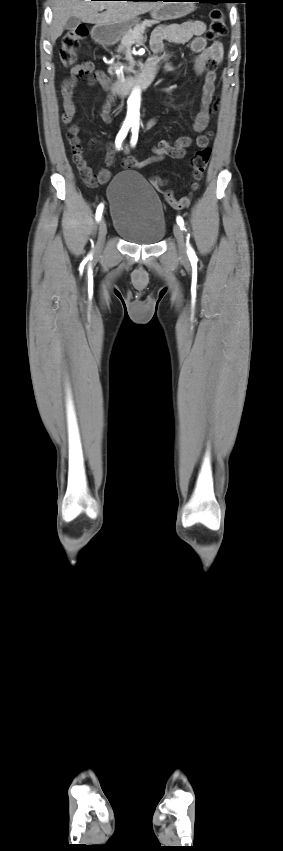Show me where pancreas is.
Segmentation results:
<instances>
[{
  "label": "pancreas",
  "mask_w": 283,
  "mask_h": 851,
  "mask_svg": "<svg viewBox=\"0 0 283 851\" xmlns=\"http://www.w3.org/2000/svg\"><path fill=\"white\" fill-rule=\"evenodd\" d=\"M155 21H144L143 23L136 25L133 30L127 32L123 38L121 39V43L118 46L117 52H124L126 49L130 48L133 44L138 43L142 44L143 41L146 40V37L143 36L145 33L146 27H150L152 24H155ZM120 67V63H114L110 66L109 72L112 73L114 70Z\"/></svg>",
  "instance_id": "1"
}]
</instances>
